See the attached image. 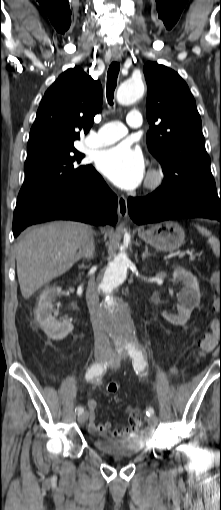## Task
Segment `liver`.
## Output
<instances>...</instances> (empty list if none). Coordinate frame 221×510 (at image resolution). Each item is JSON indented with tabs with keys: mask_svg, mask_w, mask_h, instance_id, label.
Here are the masks:
<instances>
[{
	"mask_svg": "<svg viewBox=\"0 0 221 510\" xmlns=\"http://www.w3.org/2000/svg\"><path fill=\"white\" fill-rule=\"evenodd\" d=\"M91 232L79 222L59 221L29 229L15 244L17 275L22 296L68 271L78 260L77 251Z\"/></svg>",
	"mask_w": 221,
	"mask_h": 510,
	"instance_id": "liver-1",
	"label": "liver"
}]
</instances>
